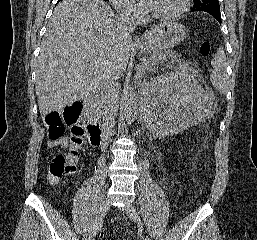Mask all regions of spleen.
Listing matches in <instances>:
<instances>
[{
	"mask_svg": "<svg viewBox=\"0 0 257 240\" xmlns=\"http://www.w3.org/2000/svg\"><path fill=\"white\" fill-rule=\"evenodd\" d=\"M211 64L213 67L210 76L211 83L219 92L226 93L228 90V75L226 73V56L222 47L217 50Z\"/></svg>",
	"mask_w": 257,
	"mask_h": 240,
	"instance_id": "obj_1",
	"label": "spleen"
}]
</instances>
